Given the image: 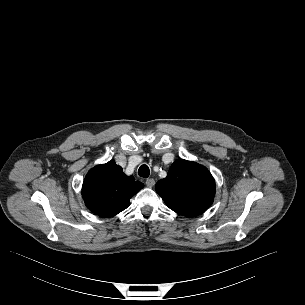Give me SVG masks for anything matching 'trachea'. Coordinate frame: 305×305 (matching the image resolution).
Instances as JSON below:
<instances>
[{
	"instance_id": "3493384b",
	"label": "trachea",
	"mask_w": 305,
	"mask_h": 305,
	"mask_svg": "<svg viewBox=\"0 0 305 305\" xmlns=\"http://www.w3.org/2000/svg\"><path fill=\"white\" fill-rule=\"evenodd\" d=\"M138 174H139V176H141L143 178L149 177V174H150L149 167L147 165L140 166V168L138 170Z\"/></svg>"
}]
</instances>
